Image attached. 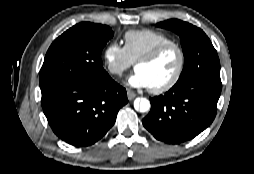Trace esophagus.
Masks as SVG:
<instances>
[{"label":"esophagus","mask_w":254,"mask_h":174,"mask_svg":"<svg viewBox=\"0 0 254 174\" xmlns=\"http://www.w3.org/2000/svg\"><path fill=\"white\" fill-rule=\"evenodd\" d=\"M127 97H128V99H129L130 101H132V100L135 99L136 93L133 92V91H131V90H128V91H127Z\"/></svg>","instance_id":"obj_1"}]
</instances>
